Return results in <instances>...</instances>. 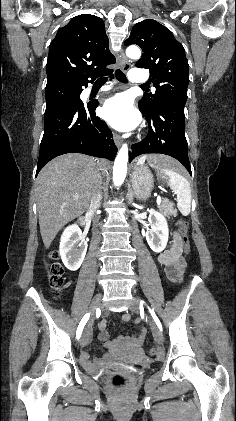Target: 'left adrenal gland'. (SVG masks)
Masks as SVG:
<instances>
[{
  "mask_svg": "<svg viewBox=\"0 0 236 421\" xmlns=\"http://www.w3.org/2000/svg\"><path fill=\"white\" fill-rule=\"evenodd\" d=\"M133 196H134V194H133V190L131 188V184H128V192H127L128 200H127V202H133Z\"/></svg>",
  "mask_w": 236,
  "mask_h": 421,
  "instance_id": "1",
  "label": "left adrenal gland"
}]
</instances>
